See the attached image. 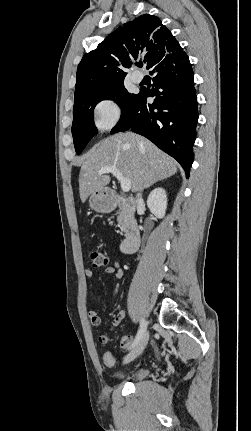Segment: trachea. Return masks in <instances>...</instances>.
<instances>
[{
	"label": "trachea",
	"mask_w": 251,
	"mask_h": 431,
	"mask_svg": "<svg viewBox=\"0 0 251 431\" xmlns=\"http://www.w3.org/2000/svg\"><path fill=\"white\" fill-rule=\"evenodd\" d=\"M142 66H143V64H142V63H139V64H138V67H142Z\"/></svg>",
	"instance_id": "obj_1"
}]
</instances>
